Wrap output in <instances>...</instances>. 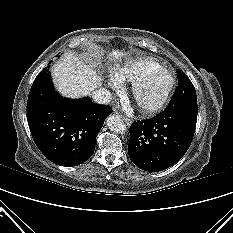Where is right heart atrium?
<instances>
[{"mask_svg": "<svg viewBox=\"0 0 233 233\" xmlns=\"http://www.w3.org/2000/svg\"><path fill=\"white\" fill-rule=\"evenodd\" d=\"M108 84L110 85V87H112L115 90L120 89L122 82L120 81V79L118 78L117 74L114 72H111L108 75Z\"/></svg>", "mask_w": 233, "mask_h": 233, "instance_id": "1", "label": "right heart atrium"}]
</instances>
